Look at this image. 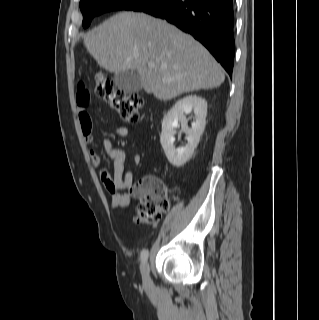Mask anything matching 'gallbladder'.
<instances>
[{
  "instance_id": "obj_1",
  "label": "gallbladder",
  "mask_w": 319,
  "mask_h": 320,
  "mask_svg": "<svg viewBox=\"0 0 319 320\" xmlns=\"http://www.w3.org/2000/svg\"><path fill=\"white\" fill-rule=\"evenodd\" d=\"M115 85L126 94H132L142 89L139 75L134 71H123L114 76Z\"/></svg>"
}]
</instances>
